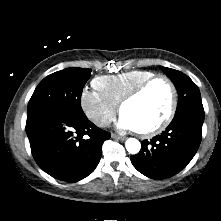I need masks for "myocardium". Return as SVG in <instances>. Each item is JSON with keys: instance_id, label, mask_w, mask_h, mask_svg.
Masks as SVG:
<instances>
[{"instance_id": "f54148a6", "label": "myocardium", "mask_w": 221, "mask_h": 221, "mask_svg": "<svg viewBox=\"0 0 221 221\" xmlns=\"http://www.w3.org/2000/svg\"><path fill=\"white\" fill-rule=\"evenodd\" d=\"M157 81H163L170 90V105L165 117L155 126L145 129V130H137V133L142 137H152L161 132H163L169 124L172 122L178 105V93L177 89L173 83V81L166 75L158 74L154 75L145 81L138 84L135 88H133L130 92H128L119 103V111L122 113L123 107L138 98L141 94H143L146 89L151 86L153 83Z\"/></svg>"}]
</instances>
